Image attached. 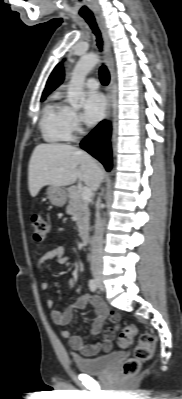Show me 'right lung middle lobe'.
Returning a JSON list of instances; mask_svg holds the SVG:
<instances>
[{
    "label": "right lung middle lobe",
    "mask_w": 182,
    "mask_h": 399,
    "mask_svg": "<svg viewBox=\"0 0 182 399\" xmlns=\"http://www.w3.org/2000/svg\"><path fill=\"white\" fill-rule=\"evenodd\" d=\"M45 98H42L41 101H44Z\"/></svg>",
    "instance_id": "right-lung-middle-lobe-1"
}]
</instances>
